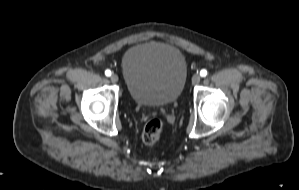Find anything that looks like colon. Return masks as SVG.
Instances as JSON below:
<instances>
[{
	"mask_svg": "<svg viewBox=\"0 0 299 190\" xmlns=\"http://www.w3.org/2000/svg\"><path fill=\"white\" fill-rule=\"evenodd\" d=\"M164 129V123L162 120L155 118L148 121L142 131V138L146 144L156 143Z\"/></svg>",
	"mask_w": 299,
	"mask_h": 190,
	"instance_id": "1",
	"label": "colon"
}]
</instances>
